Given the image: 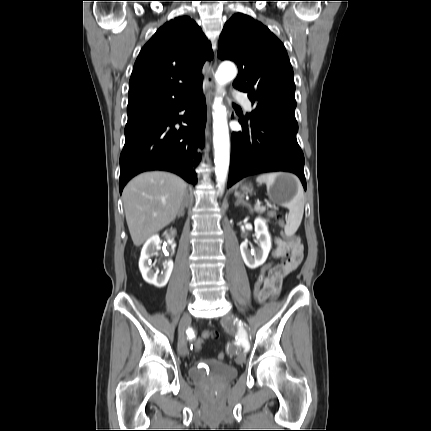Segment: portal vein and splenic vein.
<instances>
[{
	"label": "portal vein and splenic vein",
	"instance_id": "portal-vein-and-splenic-vein-1",
	"mask_svg": "<svg viewBox=\"0 0 431 431\" xmlns=\"http://www.w3.org/2000/svg\"><path fill=\"white\" fill-rule=\"evenodd\" d=\"M260 205H261V202H260V201H257V203H256L255 207H258V206H260Z\"/></svg>",
	"mask_w": 431,
	"mask_h": 431
}]
</instances>
